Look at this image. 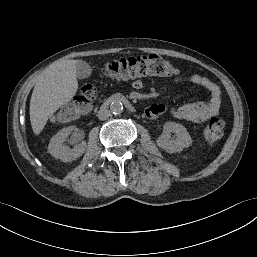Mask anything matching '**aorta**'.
Wrapping results in <instances>:
<instances>
[{"label": "aorta", "instance_id": "obj_1", "mask_svg": "<svg viewBox=\"0 0 257 257\" xmlns=\"http://www.w3.org/2000/svg\"><path fill=\"white\" fill-rule=\"evenodd\" d=\"M110 110L113 114H120L123 111V104L120 101L112 102Z\"/></svg>", "mask_w": 257, "mask_h": 257}]
</instances>
